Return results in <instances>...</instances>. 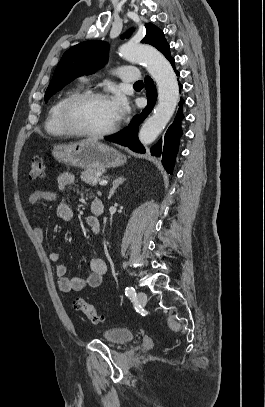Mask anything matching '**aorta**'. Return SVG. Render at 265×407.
<instances>
[{
    "mask_svg": "<svg viewBox=\"0 0 265 407\" xmlns=\"http://www.w3.org/2000/svg\"><path fill=\"white\" fill-rule=\"evenodd\" d=\"M119 54L127 61L144 63L157 84L158 104L139 132L140 142L148 145L155 141L165 128L179 102L177 77L169 61L151 47L126 43L119 48Z\"/></svg>",
    "mask_w": 265,
    "mask_h": 407,
    "instance_id": "1",
    "label": "aorta"
}]
</instances>
